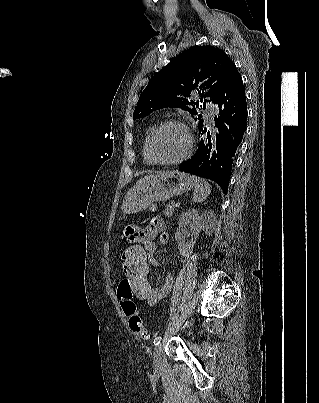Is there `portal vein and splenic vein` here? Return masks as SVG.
<instances>
[{
    "instance_id": "1",
    "label": "portal vein and splenic vein",
    "mask_w": 319,
    "mask_h": 403,
    "mask_svg": "<svg viewBox=\"0 0 319 403\" xmlns=\"http://www.w3.org/2000/svg\"><path fill=\"white\" fill-rule=\"evenodd\" d=\"M173 205L180 206V203H175L174 201L171 202Z\"/></svg>"
}]
</instances>
